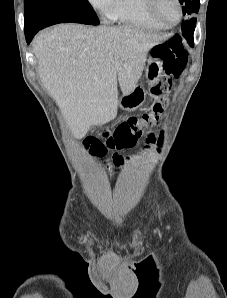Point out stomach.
Returning <instances> with one entry per match:
<instances>
[{
  "mask_svg": "<svg viewBox=\"0 0 227 298\" xmlns=\"http://www.w3.org/2000/svg\"><path fill=\"white\" fill-rule=\"evenodd\" d=\"M163 71L162 63L157 58L150 57L145 67V79L149 85H154L159 81ZM147 90L143 85L137 84L128 94H123L119 99L118 105L124 111H134L145 101Z\"/></svg>",
  "mask_w": 227,
  "mask_h": 298,
  "instance_id": "0dacf381",
  "label": "stomach"
}]
</instances>
